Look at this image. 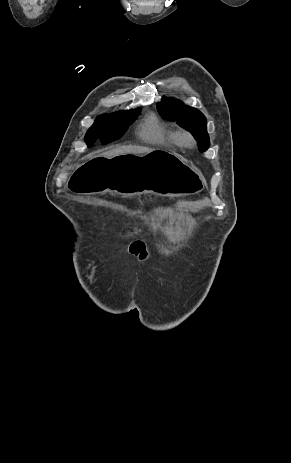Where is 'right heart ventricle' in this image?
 Returning a JSON list of instances; mask_svg holds the SVG:
<instances>
[{
    "mask_svg": "<svg viewBox=\"0 0 291 463\" xmlns=\"http://www.w3.org/2000/svg\"><path fill=\"white\" fill-rule=\"evenodd\" d=\"M139 134L143 140L150 143L167 145H177L180 143L176 131L153 115L145 119Z\"/></svg>",
    "mask_w": 291,
    "mask_h": 463,
    "instance_id": "right-heart-ventricle-1",
    "label": "right heart ventricle"
}]
</instances>
